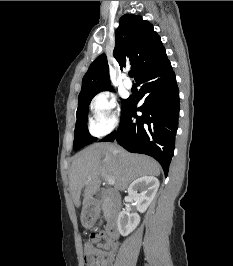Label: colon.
<instances>
[{
    "label": "colon",
    "instance_id": "obj_1",
    "mask_svg": "<svg viewBox=\"0 0 233 266\" xmlns=\"http://www.w3.org/2000/svg\"><path fill=\"white\" fill-rule=\"evenodd\" d=\"M105 238V235L100 232H93L89 238H88V243L90 244H98L100 243L103 239Z\"/></svg>",
    "mask_w": 233,
    "mask_h": 266
}]
</instances>
